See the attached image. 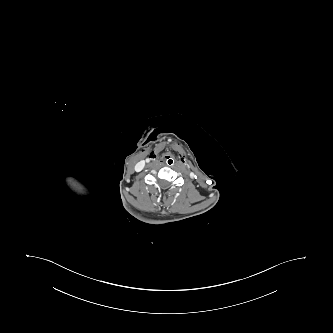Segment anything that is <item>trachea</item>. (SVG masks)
<instances>
[{"mask_svg":"<svg viewBox=\"0 0 333 333\" xmlns=\"http://www.w3.org/2000/svg\"><path fill=\"white\" fill-rule=\"evenodd\" d=\"M177 161V158L174 154L172 153H167L164 157H163V162L165 163L166 166H173Z\"/></svg>","mask_w":333,"mask_h":333,"instance_id":"trachea-1","label":"trachea"}]
</instances>
